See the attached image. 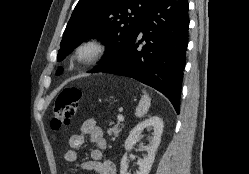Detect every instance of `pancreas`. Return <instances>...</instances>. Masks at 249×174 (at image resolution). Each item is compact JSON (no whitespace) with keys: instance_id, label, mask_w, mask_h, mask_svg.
<instances>
[{"instance_id":"1","label":"pancreas","mask_w":249,"mask_h":174,"mask_svg":"<svg viewBox=\"0 0 249 174\" xmlns=\"http://www.w3.org/2000/svg\"><path fill=\"white\" fill-rule=\"evenodd\" d=\"M113 124V123H111ZM123 125L122 124H115L112 128L108 129V135L112 136V140H116L118 138L119 133L122 131Z\"/></svg>"}]
</instances>
